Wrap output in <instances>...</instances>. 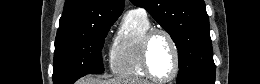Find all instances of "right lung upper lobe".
Instances as JSON below:
<instances>
[{"mask_svg":"<svg viewBox=\"0 0 260 84\" xmlns=\"http://www.w3.org/2000/svg\"><path fill=\"white\" fill-rule=\"evenodd\" d=\"M123 8L124 0H66L56 38L80 34L99 21H116Z\"/></svg>","mask_w":260,"mask_h":84,"instance_id":"cb5924a9","label":"right lung upper lobe"}]
</instances>
